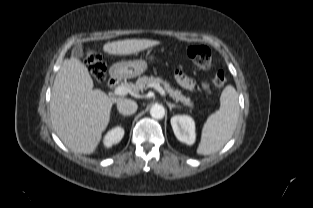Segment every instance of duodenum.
Wrapping results in <instances>:
<instances>
[{"mask_svg":"<svg viewBox=\"0 0 313 208\" xmlns=\"http://www.w3.org/2000/svg\"><path fill=\"white\" fill-rule=\"evenodd\" d=\"M120 76L117 70H113L110 74L109 80H108V86L109 88H114L117 83L119 82Z\"/></svg>","mask_w":313,"mask_h":208,"instance_id":"410a0bca","label":"duodenum"}]
</instances>
